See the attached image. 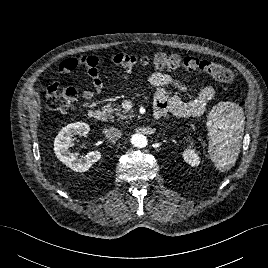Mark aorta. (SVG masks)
<instances>
[{
	"label": "aorta",
	"mask_w": 268,
	"mask_h": 268,
	"mask_svg": "<svg viewBox=\"0 0 268 268\" xmlns=\"http://www.w3.org/2000/svg\"><path fill=\"white\" fill-rule=\"evenodd\" d=\"M131 143L135 147L143 148L147 145V138L143 134L136 133L131 136Z\"/></svg>",
	"instance_id": "1"
}]
</instances>
